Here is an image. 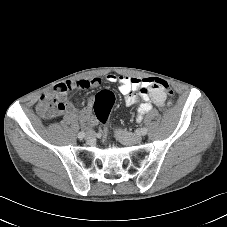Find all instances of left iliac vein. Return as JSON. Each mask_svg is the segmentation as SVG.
I'll use <instances>...</instances> for the list:
<instances>
[{
  "mask_svg": "<svg viewBox=\"0 0 227 227\" xmlns=\"http://www.w3.org/2000/svg\"><path fill=\"white\" fill-rule=\"evenodd\" d=\"M116 137L121 143L125 145L137 144L142 140L141 135L133 134L121 129L116 131Z\"/></svg>",
  "mask_w": 227,
  "mask_h": 227,
  "instance_id": "left-iliac-vein-1",
  "label": "left iliac vein"
}]
</instances>
